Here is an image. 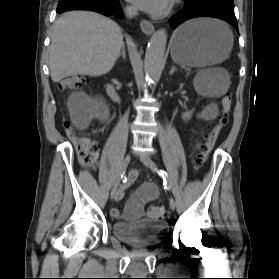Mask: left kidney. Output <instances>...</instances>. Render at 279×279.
Masks as SVG:
<instances>
[{
	"label": "left kidney",
	"instance_id": "1",
	"mask_svg": "<svg viewBox=\"0 0 279 279\" xmlns=\"http://www.w3.org/2000/svg\"><path fill=\"white\" fill-rule=\"evenodd\" d=\"M194 86H195V83H194ZM195 88H196V86H195ZM192 115H193V110L189 111V112H186V113H183L182 114V119L184 121H187V120H189L192 117Z\"/></svg>",
	"mask_w": 279,
	"mask_h": 279
}]
</instances>
